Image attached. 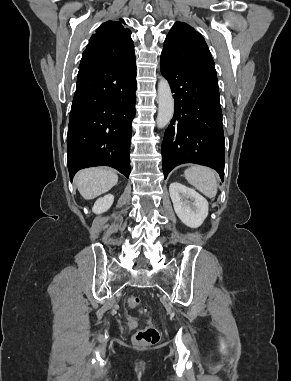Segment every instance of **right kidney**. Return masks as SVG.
<instances>
[{
  "label": "right kidney",
  "mask_w": 291,
  "mask_h": 381,
  "mask_svg": "<svg viewBox=\"0 0 291 381\" xmlns=\"http://www.w3.org/2000/svg\"><path fill=\"white\" fill-rule=\"evenodd\" d=\"M114 202V196L112 194H107L102 198H99L93 208L92 211L95 214H101L103 212H106L113 204Z\"/></svg>",
  "instance_id": "obj_1"
}]
</instances>
